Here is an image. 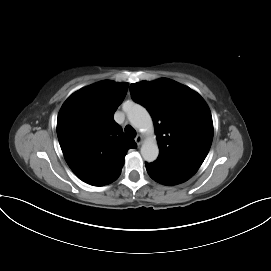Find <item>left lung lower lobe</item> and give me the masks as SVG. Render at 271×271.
Listing matches in <instances>:
<instances>
[{"mask_svg": "<svg viewBox=\"0 0 271 271\" xmlns=\"http://www.w3.org/2000/svg\"><path fill=\"white\" fill-rule=\"evenodd\" d=\"M145 165L153 180L169 186L185 182L197 171L194 168L161 159L145 163Z\"/></svg>", "mask_w": 271, "mask_h": 271, "instance_id": "1", "label": "left lung lower lobe"}]
</instances>
